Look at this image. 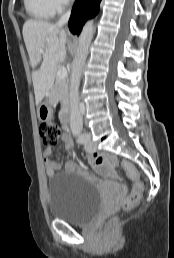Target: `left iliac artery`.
Here are the masks:
<instances>
[{
  "label": "left iliac artery",
  "instance_id": "left-iliac-artery-1",
  "mask_svg": "<svg viewBox=\"0 0 174 258\" xmlns=\"http://www.w3.org/2000/svg\"><path fill=\"white\" fill-rule=\"evenodd\" d=\"M73 134L76 137V140L80 144H84L87 140L86 133H82V126H79L75 130H73Z\"/></svg>",
  "mask_w": 174,
  "mask_h": 258
}]
</instances>
